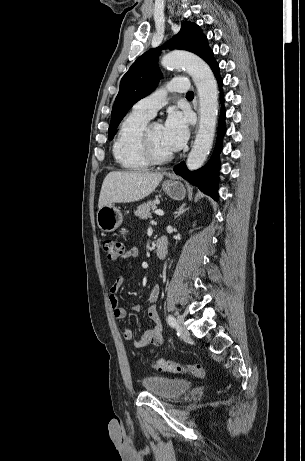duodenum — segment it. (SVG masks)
Masks as SVG:
<instances>
[{
    "mask_svg": "<svg viewBox=\"0 0 305 461\" xmlns=\"http://www.w3.org/2000/svg\"><path fill=\"white\" fill-rule=\"evenodd\" d=\"M168 242L165 238H159L156 243V253L160 259L165 258L167 254Z\"/></svg>",
    "mask_w": 305,
    "mask_h": 461,
    "instance_id": "1",
    "label": "duodenum"
}]
</instances>
